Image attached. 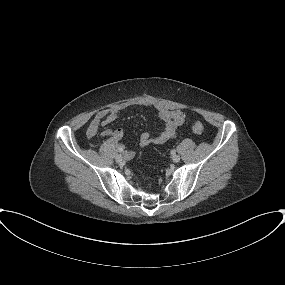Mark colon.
<instances>
[{"mask_svg":"<svg viewBox=\"0 0 285 285\" xmlns=\"http://www.w3.org/2000/svg\"><path fill=\"white\" fill-rule=\"evenodd\" d=\"M192 129L196 134H202L204 132V127L200 122H194L192 125Z\"/></svg>","mask_w":285,"mask_h":285,"instance_id":"5ec220e1","label":"colon"}]
</instances>
